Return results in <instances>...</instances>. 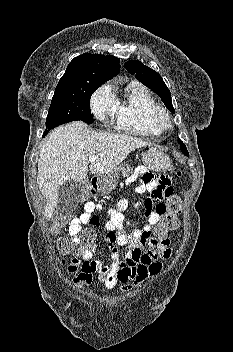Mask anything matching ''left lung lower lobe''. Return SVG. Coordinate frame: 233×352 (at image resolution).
Returning <instances> with one entry per match:
<instances>
[{"instance_id": "0a47b994", "label": "left lung lower lobe", "mask_w": 233, "mask_h": 352, "mask_svg": "<svg viewBox=\"0 0 233 352\" xmlns=\"http://www.w3.org/2000/svg\"><path fill=\"white\" fill-rule=\"evenodd\" d=\"M186 156H189V154L188 153H184Z\"/></svg>"}]
</instances>
